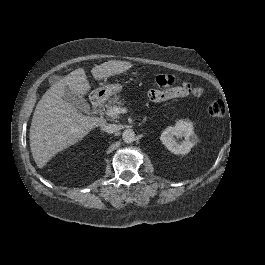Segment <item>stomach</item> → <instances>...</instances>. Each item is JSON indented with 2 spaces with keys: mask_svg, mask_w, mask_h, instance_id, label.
<instances>
[{
  "mask_svg": "<svg viewBox=\"0 0 265 265\" xmlns=\"http://www.w3.org/2000/svg\"><path fill=\"white\" fill-rule=\"evenodd\" d=\"M123 85L116 83V84H106L103 85L102 87L98 88L95 92L96 94L104 97H109L115 93H118L122 90Z\"/></svg>",
  "mask_w": 265,
  "mask_h": 265,
  "instance_id": "obj_1",
  "label": "stomach"
}]
</instances>
